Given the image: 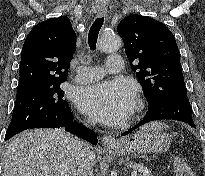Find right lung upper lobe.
I'll return each mask as SVG.
<instances>
[{
  "instance_id": "right-lung-upper-lobe-1",
  "label": "right lung upper lobe",
  "mask_w": 205,
  "mask_h": 176,
  "mask_svg": "<svg viewBox=\"0 0 205 176\" xmlns=\"http://www.w3.org/2000/svg\"><path fill=\"white\" fill-rule=\"evenodd\" d=\"M75 45L76 35L66 16L34 26L22 48L17 95L64 82Z\"/></svg>"
}]
</instances>
